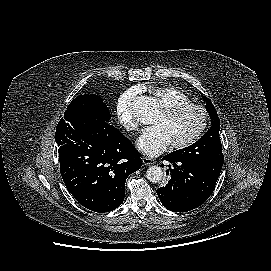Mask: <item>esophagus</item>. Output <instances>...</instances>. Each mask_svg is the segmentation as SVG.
Wrapping results in <instances>:
<instances>
[{"mask_svg": "<svg viewBox=\"0 0 271 271\" xmlns=\"http://www.w3.org/2000/svg\"><path fill=\"white\" fill-rule=\"evenodd\" d=\"M143 164L145 166H151L154 165L156 163V161L154 159L148 158V157H143L142 158Z\"/></svg>", "mask_w": 271, "mask_h": 271, "instance_id": "1", "label": "esophagus"}]
</instances>
